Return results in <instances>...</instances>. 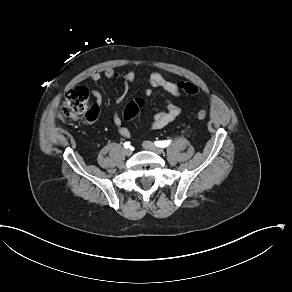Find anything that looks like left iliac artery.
Segmentation results:
<instances>
[{
    "label": "left iliac artery",
    "instance_id": "obj_1",
    "mask_svg": "<svg viewBox=\"0 0 292 292\" xmlns=\"http://www.w3.org/2000/svg\"><path fill=\"white\" fill-rule=\"evenodd\" d=\"M171 143V140L156 141L155 145L160 148H165Z\"/></svg>",
    "mask_w": 292,
    "mask_h": 292
}]
</instances>
